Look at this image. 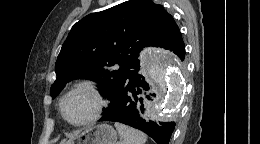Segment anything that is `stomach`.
<instances>
[{"instance_id":"1","label":"stomach","mask_w":260,"mask_h":144,"mask_svg":"<svg viewBox=\"0 0 260 144\" xmlns=\"http://www.w3.org/2000/svg\"><path fill=\"white\" fill-rule=\"evenodd\" d=\"M76 144H116L117 133L109 124H99L79 133Z\"/></svg>"}]
</instances>
